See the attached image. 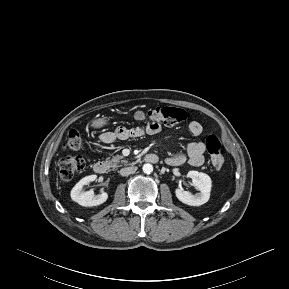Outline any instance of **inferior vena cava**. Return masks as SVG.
Returning <instances> with one entry per match:
<instances>
[{
    "label": "inferior vena cava",
    "instance_id": "inferior-vena-cava-1",
    "mask_svg": "<svg viewBox=\"0 0 289 289\" xmlns=\"http://www.w3.org/2000/svg\"><path fill=\"white\" fill-rule=\"evenodd\" d=\"M137 170L136 166L122 168L119 173L121 176H128Z\"/></svg>",
    "mask_w": 289,
    "mask_h": 289
}]
</instances>
